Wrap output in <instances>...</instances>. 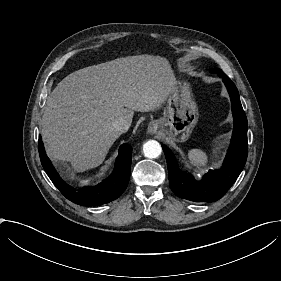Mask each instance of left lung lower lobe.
<instances>
[{
  "instance_id": "1",
  "label": "left lung lower lobe",
  "mask_w": 281,
  "mask_h": 281,
  "mask_svg": "<svg viewBox=\"0 0 281 281\" xmlns=\"http://www.w3.org/2000/svg\"><path fill=\"white\" fill-rule=\"evenodd\" d=\"M217 74L223 79L229 92L234 118L231 144L222 168L209 170L201 181H196L192 175L179 169L171 150L162 145L172 191L178 197L194 202H214L222 198L236 181L247 160V118L240 102L238 90L224 72Z\"/></svg>"
}]
</instances>
